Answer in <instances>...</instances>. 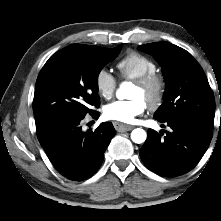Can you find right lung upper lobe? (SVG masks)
I'll list each match as a JSON object with an SVG mask.
<instances>
[{
  "label": "right lung upper lobe",
  "instance_id": "cb5924a9",
  "mask_svg": "<svg viewBox=\"0 0 221 221\" xmlns=\"http://www.w3.org/2000/svg\"><path fill=\"white\" fill-rule=\"evenodd\" d=\"M70 47L85 49V48H94V47H97V46L83 45V44H72V45H70ZM97 48H101V47H97Z\"/></svg>",
  "mask_w": 221,
  "mask_h": 221
}]
</instances>
